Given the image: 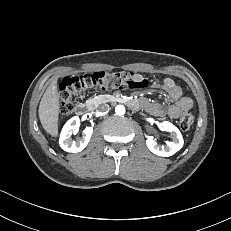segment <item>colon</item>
Masks as SVG:
<instances>
[{
    "label": "colon",
    "mask_w": 231,
    "mask_h": 231,
    "mask_svg": "<svg viewBox=\"0 0 231 231\" xmlns=\"http://www.w3.org/2000/svg\"><path fill=\"white\" fill-rule=\"evenodd\" d=\"M148 80L138 81L132 72H93L84 75L67 77L59 87L60 113L69 114L77 101L93 90L110 91L113 89L144 88ZM193 115L185 111L179 119V127L183 131L190 129L193 123Z\"/></svg>",
    "instance_id": "obj_1"
}]
</instances>
